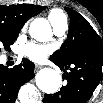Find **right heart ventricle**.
I'll return each mask as SVG.
<instances>
[{"label":"right heart ventricle","mask_w":103,"mask_h":103,"mask_svg":"<svg viewBox=\"0 0 103 103\" xmlns=\"http://www.w3.org/2000/svg\"><path fill=\"white\" fill-rule=\"evenodd\" d=\"M48 18L52 24V26H55L59 24L60 22L66 20V16L58 9H52L49 12Z\"/></svg>","instance_id":"1"}]
</instances>
